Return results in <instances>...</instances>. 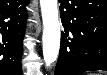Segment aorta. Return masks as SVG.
Returning <instances> with one entry per match:
<instances>
[{
  "label": "aorta",
  "mask_w": 107,
  "mask_h": 75,
  "mask_svg": "<svg viewBox=\"0 0 107 75\" xmlns=\"http://www.w3.org/2000/svg\"><path fill=\"white\" fill-rule=\"evenodd\" d=\"M43 20V58L46 67L54 63L60 48V23L57 0H40Z\"/></svg>",
  "instance_id": "obj_1"
}]
</instances>
